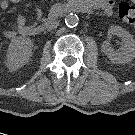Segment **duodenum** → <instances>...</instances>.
<instances>
[{
  "label": "duodenum",
  "mask_w": 135,
  "mask_h": 135,
  "mask_svg": "<svg viewBox=\"0 0 135 135\" xmlns=\"http://www.w3.org/2000/svg\"><path fill=\"white\" fill-rule=\"evenodd\" d=\"M65 8L69 11H79L82 13H88L91 9L89 6L80 0H68L66 2ZM43 28L41 26L34 27V28H28L26 30V34H31V35H40L43 32Z\"/></svg>",
  "instance_id": "410a0bca"
}]
</instances>
